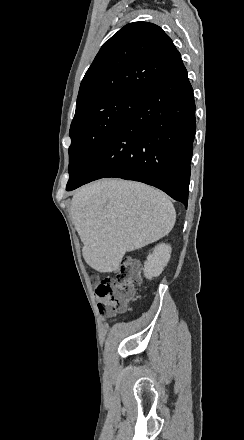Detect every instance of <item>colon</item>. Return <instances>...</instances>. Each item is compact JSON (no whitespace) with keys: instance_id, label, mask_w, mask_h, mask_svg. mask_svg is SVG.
<instances>
[{"instance_id":"obj_1","label":"colon","mask_w":244,"mask_h":440,"mask_svg":"<svg viewBox=\"0 0 244 440\" xmlns=\"http://www.w3.org/2000/svg\"><path fill=\"white\" fill-rule=\"evenodd\" d=\"M88 281L90 284L98 283L95 288V299L103 315H119L127 309L134 297L135 288L141 282L138 262L125 260L116 267L113 277H105L99 281L97 275H90Z\"/></svg>"}]
</instances>
